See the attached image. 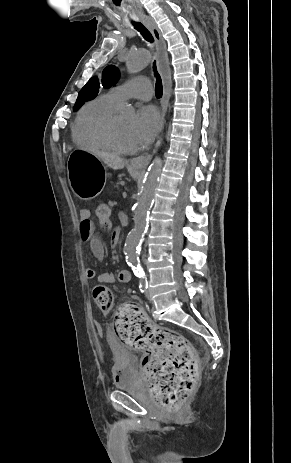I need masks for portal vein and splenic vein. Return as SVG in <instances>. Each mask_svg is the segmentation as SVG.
Masks as SVG:
<instances>
[{"label": "portal vein and splenic vein", "mask_w": 291, "mask_h": 463, "mask_svg": "<svg viewBox=\"0 0 291 463\" xmlns=\"http://www.w3.org/2000/svg\"><path fill=\"white\" fill-rule=\"evenodd\" d=\"M122 196H123V197H126V196H127V192L124 191V192L122 193Z\"/></svg>", "instance_id": "18ae733b"}]
</instances>
